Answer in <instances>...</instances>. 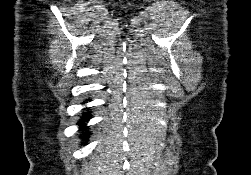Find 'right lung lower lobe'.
I'll list each match as a JSON object with an SVG mask.
<instances>
[{
	"label": "right lung lower lobe",
	"mask_w": 251,
	"mask_h": 175,
	"mask_svg": "<svg viewBox=\"0 0 251 175\" xmlns=\"http://www.w3.org/2000/svg\"><path fill=\"white\" fill-rule=\"evenodd\" d=\"M89 117H90V113H84L82 119L79 120L78 124L81 126V129H82V130L86 129L84 123L87 122V121L89 120ZM85 134L88 135L89 133L86 132Z\"/></svg>",
	"instance_id": "98d812e1"
}]
</instances>
